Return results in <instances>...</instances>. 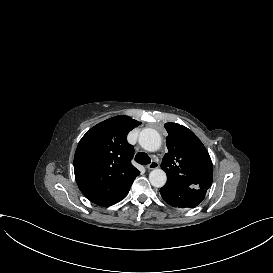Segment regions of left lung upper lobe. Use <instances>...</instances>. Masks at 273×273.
Segmentation results:
<instances>
[{"mask_svg": "<svg viewBox=\"0 0 273 273\" xmlns=\"http://www.w3.org/2000/svg\"><path fill=\"white\" fill-rule=\"evenodd\" d=\"M168 132L161 168L167 181L197 189H209L213 181V167L208 151L188 128L177 123H166Z\"/></svg>", "mask_w": 273, "mask_h": 273, "instance_id": "left-lung-upper-lobe-1", "label": "left lung upper lobe"}]
</instances>
